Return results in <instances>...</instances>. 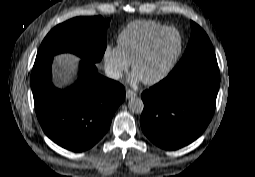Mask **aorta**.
<instances>
[{"label": "aorta", "mask_w": 255, "mask_h": 177, "mask_svg": "<svg viewBox=\"0 0 255 177\" xmlns=\"http://www.w3.org/2000/svg\"><path fill=\"white\" fill-rule=\"evenodd\" d=\"M128 108L132 113L141 114L144 109V103L141 98L132 97L128 101Z\"/></svg>", "instance_id": "1"}]
</instances>
